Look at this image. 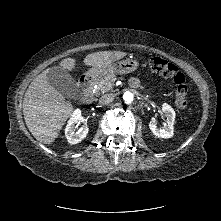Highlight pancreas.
Listing matches in <instances>:
<instances>
[{"mask_svg": "<svg viewBox=\"0 0 221 221\" xmlns=\"http://www.w3.org/2000/svg\"><path fill=\"white\" fill-rule=\"evenodd\" d=\"M116 79V76L109 75L104 79L99 80L97 82V87L93 89V94L99 96L101 93L103 94L110 91L113 88Z\"/></svg>", "mask_w": 221, "mask_h": 221, "instance_id": "cf45deb5", "label": "pancreas"}]
</instances>
